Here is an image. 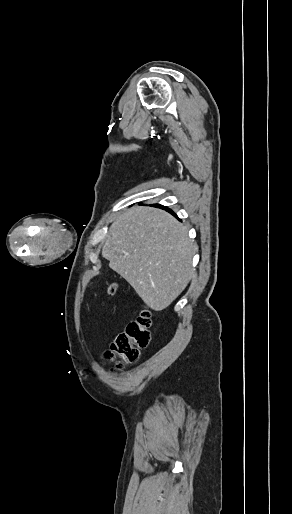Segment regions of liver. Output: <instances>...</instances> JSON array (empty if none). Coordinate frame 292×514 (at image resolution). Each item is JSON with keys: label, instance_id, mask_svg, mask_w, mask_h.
<instances>
[{"label": "liver", "instance_id": "6515ba94", "mask_svg": "<svg viewBox=\"0 0 292 514\" xmlns=\"http://www.w3.org/2000/svg\"><path fill=\"white\" fill-rule=\"evenodd\" d=\"M196 250L188 230L173 216L156 208L134 206L113 222L102 256L148 308L161 312L193 278Z\"/></svg>", "mask_w": 292, "mask_h": 514}]
</instances>
